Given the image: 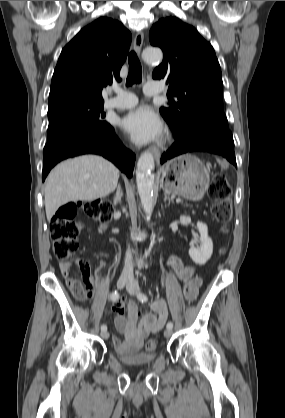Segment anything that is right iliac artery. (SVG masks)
<instances>
[{
  "instance_id": "82829eb1",
  "label": "right iliac artery",
  "mask_w": 285,
  "mask_h": 418,
  "mask_svg": "<svg viewBox=\"0 0 285 418\" xmlns=\"http://www.w3.org/2000/svg\"><path fill=\"white\" fill-rule=\"evenodd\" d=\"M119 297H120V294H119V292L118 291H114V292H112L111 293V295H110V299L112 300V301H117L118 299H119ZM107 330V326L106 325H102L101 326V331H106Z\"/></svg>"
}]
</instances>
